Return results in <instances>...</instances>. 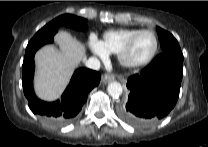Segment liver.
Masks as SVG:
<instances>
[{
  "label": "liver",
  "mask_w": 208,
  "mask_h": 147,
  "mask_svg": "<svg viewBox=\"0 0 208 147\" xmlns=\"http://www.w3.org/2000/svg\"><path fill=\"white\" fill-rule=\"evenodd\" d=\"M59 49L46 45L35 55V92L46 101L60 97L69 83L75 68L86 60V48L65 31L55 36Z\"/></svg>",
  "instance_id": "liver-1"
}]
</instances>
